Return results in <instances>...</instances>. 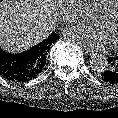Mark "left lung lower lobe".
<instances>
[{"instance_id":"left-lung-lower-lobe-1","label":"left lung lower lobe","mask_w":118,"mask_h":118,"mask_svg":"<svg viewBox=\"0 0 118 118\" xmlns=\"http://www.w3.org/2000/svg\"><path fill=\"white\" fill-rule=\"evenodd\" d=\"M107 61L108 65L101 77L108 83L118 84V56L108 57Z\"/></svg>"}]
</instances>
